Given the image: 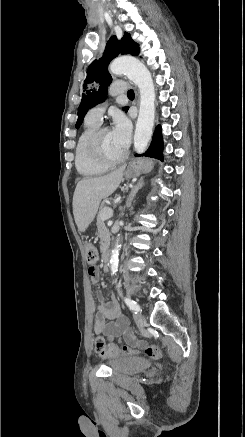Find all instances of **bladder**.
Wrapping results in <instances>:
<instances>
[{
  "mask_svg": "<svg viewBox=\"0 0 245 437\" xmlns=\"http://www.w3.org/2000/svg\"><path fill=\"white\" fill-rule=\"evenodd\" d=\"M108 364L115 374H133L149 365V361L136 356H113L108 359Z\"/></svg>",
  "mask_w": 245,
  "mask_h": 437,
  "instance_id": "1",
  "label": "bladder"
}]
</instances>
